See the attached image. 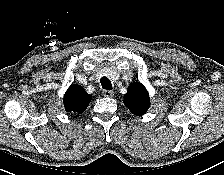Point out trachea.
<instances>
[{"mask_svg": "<svg viewBox=\"0 0 224 175\" xmlns=\"http://www.w3.org/2000/svg\"><path fill=\"white\" fill-rule=\"evenodd\" d=\"M100 83H101L103 89L112 90L111 81L107 77H102L100 79Z\"/></svg>", "mask_w": 224, "mask_h": 175, "instance_id": "obj_1", "label": "trachea"}]
</instances>
